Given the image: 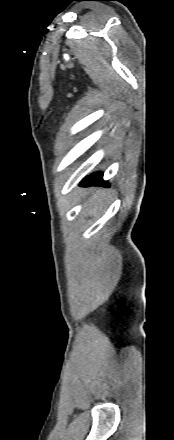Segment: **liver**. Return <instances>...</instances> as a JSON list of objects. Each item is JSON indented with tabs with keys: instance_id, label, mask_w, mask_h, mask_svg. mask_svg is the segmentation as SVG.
<instances>
[{
	"instance_id": "obj_1",
	"label": "liver",
	"mask_w": 174,
	"mask_h": 440,
	"mask_svg": "<svg viewBox=\"0 0 174 440\" xmlns=\"http://www.w3.org/2000/svg\"><path fill=\"white\" fill-rule=\"evenodd\" d=\"M90 194L89 199L84 203V207L90 213L95 214L97 210H101L110 199V192L103 188L89 189L82 196Z\"/></svg>"
}]
</instances>
